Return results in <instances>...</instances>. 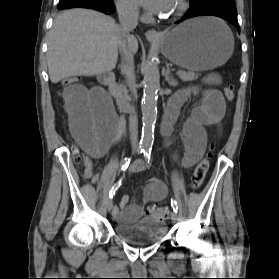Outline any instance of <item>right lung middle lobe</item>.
<instances>
[{
  "mask_svg": "<svg viewBox=\"0 0 279 279\" xmlns=\"http://www.w3.org/2000/svg\"><path fill=\"white\" fill-rule=\"evenodd\" d=\"M106 1H108V2H113V0H106Z\"/></svg>",
  "mask_w": 279,
  "mask_h": 279,
  "instance_id": "dd1d6c3e",
  "label": "right lung middle lobe"
}]
</instances>
